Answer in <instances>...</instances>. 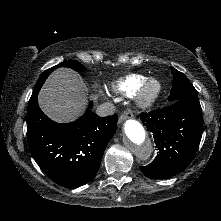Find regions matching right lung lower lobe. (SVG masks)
Returning <instances> with one entry per match:
<instances>
[{
  "label": "right lung lower lobe",
  "mask_w": 221,
  "mask_h": 221,
  "mask_svg": "<svg viewBox=\"0 0 221 221\" xmlns=\"http://www.w3.org/2000/svg\"><path fill=\"white\" fill-rule=\"evenodd\" d=\"M33 91L28 105L27 138L33 158L55 183L77 188L97 174L104 150L116 131L117 115L99 117L92 102L72 123L49 119L39 108Z\"/></svg>",
  "instance_id": "obj_1"
}]
</instances>
